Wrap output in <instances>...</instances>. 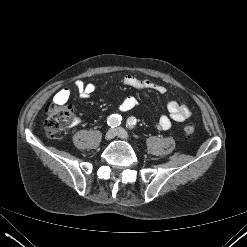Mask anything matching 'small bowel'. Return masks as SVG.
Returning a JSON list of instances; mask_svg holds the SVG:
<instances>
[{
    "label": "small bowel",
    "mask_w": 247,
    "mask_h": 247,
    "mask_svg": "<svg viewBox=\"0 0 247 247\" xmlns=\"http://www.w3.org/2000/svg\"><path fill=\"white\" fill-rule=\"evenodd\" d=\"M123 83L126 86L138 89V90H153L158 93L164 94L167 88L158 82H154L148 79H139L134 75H126L123 78ZM77 92L82 98L90 97L96 90V87L92 83H84L83 81H77L75 83ZM70 89L63 88L54 95V102L63 104L70 97ZM138 101L135 97L130 96L124 99L119 105L120 112H128L136 107ZM168 114L162 115L157 123V128L160 130H168L171 128L172 122H183L191 116L190 108L176 100H171L167 104Z\"/></svg>",
    "instance_id": "small-bowel-1"
}]
</instances>
